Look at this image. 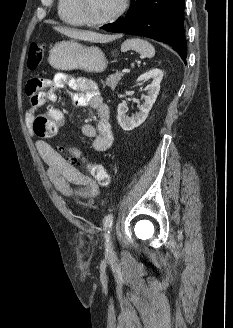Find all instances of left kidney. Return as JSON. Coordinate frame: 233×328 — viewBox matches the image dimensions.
Listing matches in <instances>:
<instances>
[{"instance_id":"1","label":"left kidney","mask_w":233,"mask_h":328,"mask_svg":"<svg viewBox=\"0 0 233 328\" xmlns=\"http://www.w3.org/2000/svg\"><path fill=\"white\" fill-rule=\"evenodd\" d=\"M163 78V72L160 69L154 68L151 69L137 79V82H142L148 79H152L150 85L147 86L146 90L147 96L144 98L143 104L139 108V112L129 117L127 115L128 108L126 103H120L117 109V120L119 125L125 131H131L134 128L140 126L147 118L149 111L151 110L153 104L156 101V98L160 91V83Z\"/></svg>"}]
</instances>
